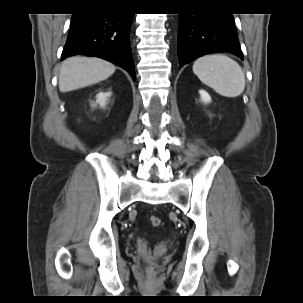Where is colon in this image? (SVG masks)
Masks as SVG:
<instances>
[{"label":"colon","mask_w":303,"mask_h":303,"mask_svg":"<svg viewBox=\"0 0 303 303\" xmlns=\"http://www.w3.org/2000/svg\"><path fill=\"white\" fill-rule=\"evenodd\" d=\"M149 222H150V224H151L152 226L156 227V226H159V225L161 224V219H160V217H158V216H156V215H152V216H150V218H149ZM150 273H151V274H154V273H155V268H154V267H152V268L150 269Z\"/></svg>","instance_id":"5ec220e1"}]
</instances>
